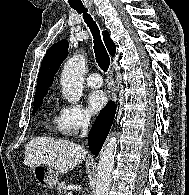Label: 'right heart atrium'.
Returning <instances> with one entry per match:
<instances>
[{
	"label": "right heart atrium",
	"instance_id": "obj_1",
	"mask_svg": "<svg viewBox=\"0 0 189 195\" xmlns=\"http://www.w3.org/2000/svg\"><path fill=\"white\" fill-rule=\"evenodd\" d=\"M91 116L80 105H64L60 108L57 119V129L65 135H74L80 129L88 126Z\"/></svg>",
	"mask_w": 189,
	"mask_h": 195
}]
</instances>
